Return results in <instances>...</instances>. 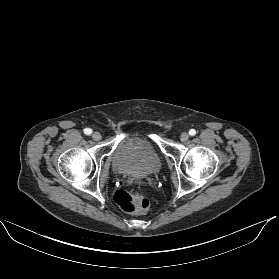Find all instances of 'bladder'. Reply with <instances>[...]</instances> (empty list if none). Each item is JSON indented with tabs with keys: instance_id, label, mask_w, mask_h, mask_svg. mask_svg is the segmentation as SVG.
I'll return each instance as SVG.
<instances>
[{
	"instance_id": "31cf9c89",
	"label": "bladder",
	"mask_w": 279,
	"mask_h": 279,
	"mask_svg": "<svg viewBox=\"0 0 279 279\" xmlns=\"http://www.w3.org/2000/svg\"><path fill=\"white\" fill-rule=\"evenodd\" d=\"M114 168L123 176L143 179L156 174L162 161L154 147L135 138H125L113 151Z\"/></svg>"
}]
</instances>
